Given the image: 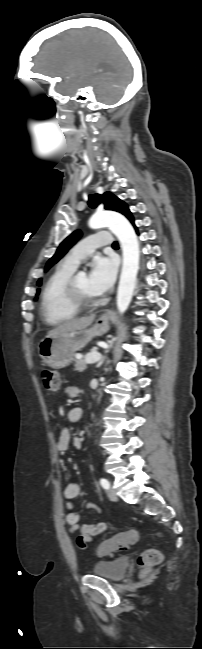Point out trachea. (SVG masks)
<instances>
[{"label": "trachea", "mask_w": 202, "mask_h": 649, "mask_svg": "<svg viewBox=\"0 0 202 649\" xmlns=\"http://www.w3.org/2000/svg\"><path fill=\"white\" fill-rule=\"evenodd\" d=\"M112 246H118V243L115 241Z\"/></svg>", "instance_id": "1"}]
</instances>
